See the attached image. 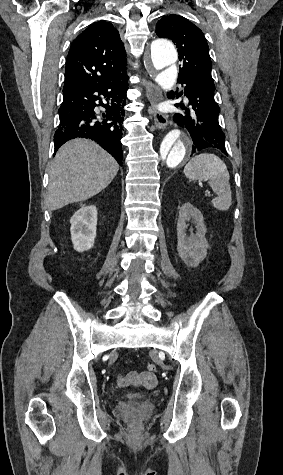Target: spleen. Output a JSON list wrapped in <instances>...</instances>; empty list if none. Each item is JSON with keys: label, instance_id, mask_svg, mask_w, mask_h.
Listing matches in <instances>:
<instances>
[{"label": "spleen", "instance_id": "1", "mask_svg": "<svg viewBox=\"0 0 283 475\" xmlns=\"http://www.w3.org/2000/svg\"><path fill=\"white\" fill-rule=\"evenodd\" d=\"M184 174L189 180L208 182L217 198L212 200L216 210L226 212L231 206L232 192L229 184L230 176L226 164L214 154H199L192 158L184 168Z\"/></svg>", "mask_w": 283, "mask_h": 475}]
</instances>
